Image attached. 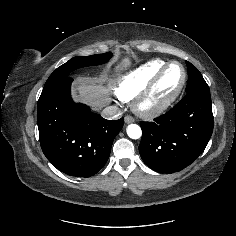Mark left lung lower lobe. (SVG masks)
I'll return each mask as SVG.
<instances>
[{
  "instance_id": "obj_1",
  "label": "left lung lower lobe",
  "mask_w": 236,
  "mask_h": 236,
  "mask_svg": "<svg viewBox=\"0 0 236 236\" xmlns=\"http://www.w3.org/2000/svg\"><path fill=\"white\" fill-rule=\"evenodd\" d=\"M140 125L145 164L160 173L184 169L204 151L213 132L209 88L187 93L169 112Z\"/></svg>"
}]
</instances>
